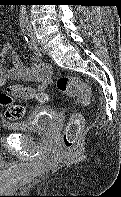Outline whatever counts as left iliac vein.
Here are the masks:
<instances>
[{"label": "left iliac vein", "mask_w": 121, "mask_h": 197, "mask_svg": "<svg viewBox=\"0 0 121 197\" xmlns=\"http://www.w3.org/2000/svg\"><path fill=\"white\" fill-rule=\"evenodd\" d=\"M30 33H31V36H32L33 44L35 46H37L38 42H37V39H36V36H35V31L31 26H30Z\"/></svg>", "instance_id": "4c4485c4"}]
</instances>
